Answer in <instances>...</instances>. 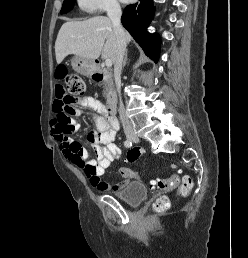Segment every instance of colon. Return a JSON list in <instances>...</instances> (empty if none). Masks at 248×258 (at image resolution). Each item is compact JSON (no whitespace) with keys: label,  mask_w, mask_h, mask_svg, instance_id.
I'll use <instances>...</instances> for the list:
<instances>
[{"label":"colon","mask_w":248,"mask_h":258,"mask_svg":"<svg viewBox=\"0 0 248 258\" xmlns=\"http://www.w3.org/2000/svg\"><path fill=\"white\" fill-rule=\"evenodd\" d=\"M67 92L65 95L56 99L55 102V123L58 130L62 134H69L73 132V126L71 124V114L73 113V104L77 96L85 93V82L78 75H68L65 77ZM131 151L127 154V161L132 163L137 160L138 157L144 155V145L136 144L131 146ZM85 174L88 176H95L93 169H85ZM179 183V176L177 173H172L167 177H159L151 182V185L156 190H170L175 188ZM193 186V181L190 177L185 176L182 180V185L179 188V193L182 196H186ZM169 201L166 197H161L155 202V209L157 211H163L167 209Z\"/></svg>","instance_id":"5ec220e1"}]
</instances>
